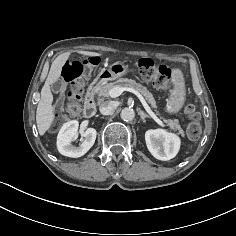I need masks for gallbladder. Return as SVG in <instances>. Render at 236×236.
I'll return each mask as SVG.
<instances>
[{
  "label": "gallbladder",
  "instance_id": "bac80fb5",
  "mask_svg": "<svg viewBox=\"0 0 236 236\" xmlns=\"http://www.w3.org/2000/svg\"><path fill=\"white\" fill-rule=\"evenodd\" d=\"M62 88H63V82L61 80H57L53 84H51V90L54 93L60 92Z\"/></svg>",
  "mask_w": 236,
  "mask_h": 236
}]
</instances>
